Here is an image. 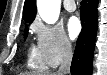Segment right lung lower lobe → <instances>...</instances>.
Listing matches in <instances>:
<instances>
[{"instance_id":"obj_1","label":"right lung lower lobe","mask_w":107,"mask_h":75,"mask_svg":"<svg viewBox=\"0 0 107 75\" xmlns=\"http://www.w3.org/2000/svg\"><path fill=\"white\" fill-rule=\"evenodd\" d=\"M98 0H83L80 7L82 30L71 63L72 75H92L95 47Z\"/></svg>"}]
</instances>
